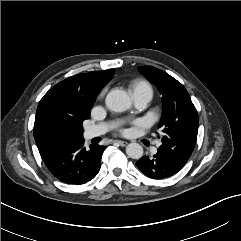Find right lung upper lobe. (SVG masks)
<instances>
[{"instance_id": "right-lung-upper-lobe-1", "label": "right lung upper lobe", "mask_w": 241, "mask_h": 241, "mask_svg": "<svg viewBox=\"0 0 241 241\" xmlns=\"http://www.w3.org/2000/svg\"><path fill=\"white\" fill-rule=\"evenodd\" d=\"M113 75V69L77 74L59 82L43 96L34 123L41 157L70 142L55 133L57 126L75 127L88 119L98 93Z\"/></svg>"}]
</instances>
